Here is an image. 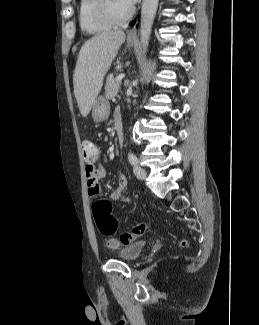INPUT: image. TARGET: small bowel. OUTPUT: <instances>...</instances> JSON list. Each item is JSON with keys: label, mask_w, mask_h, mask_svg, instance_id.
Here are the masks:
<instances>
[{"label": "small bowel", "mask_w": 259, "mask_h": 325, "mask_svg": "<svg viewBox=\"0 0 259 325\" xmlns=\"http://www.w3.org/2000/svg\"><path fill=\"white\" fill-rule=\"evenodd\" d=\"M119 113L120 110L116 109L114 112V116ZM98 157L93 161H85V174H86V182H87V191L89 196L94 197L100 193V180L105 177L106 170L105 168L98 162ZM128 185V180L126 176L121 175L118 181V187L110 194V198L112 200H120L123 202L128 201V197L125 195V189Z\"/></svg>", "instance_id": "small-bowel-1"}]
</instances>
